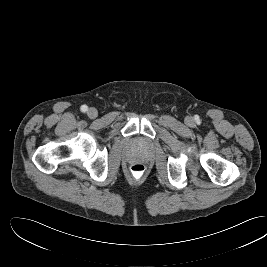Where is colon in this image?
I'll return each instance as SVG.
<instances>
[{"instance_id":"1","label":"colon","mask_w":267,"mask_h":267,"mask_svg":"<svg viewBox=\"0 0 267 267\" xmlns=\"http://www.w3.org/2000/svg\"><path fill=\"white\" fill-rule=\"evenodd\" d=\"M145 166L142 163H134L130 167V172L135 179H140L145 174Z\"/></svg>"}]
</instances>
